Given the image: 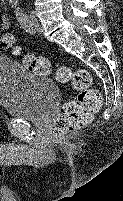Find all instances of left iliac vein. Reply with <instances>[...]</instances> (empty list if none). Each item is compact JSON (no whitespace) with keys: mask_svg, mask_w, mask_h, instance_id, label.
<instances>
[{"mask_svg":"<svg viewBox=\"0 0 123 201\" xmlns=\"http://www.w3.org/2000/svg\"><path fill=\"white\" fill-rule=\"evenodd\" d=\"M30 22H31V26L33 28V32H37V31L41 30L39 22L34 14L30 15Z\"/></svg>","mask_w":123,"mask_h":201,"instance_id":"obj_1","label":"left iliac vein"}]
</instances>
